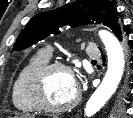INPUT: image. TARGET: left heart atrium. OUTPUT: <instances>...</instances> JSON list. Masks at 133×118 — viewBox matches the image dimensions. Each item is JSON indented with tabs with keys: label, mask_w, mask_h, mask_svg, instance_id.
I'll return each mask as SVG.
<instances>
[{
	"label": "left heart atrium",
	"mask_w": 133,
	"mask_h": 118,
	"mask_svg": "<svg viewBox=\"0 0 133 118\" xmlns=\"http://www.w3.org/2000/svg\"><path fill=\"white\" fill-rule=\"evenodd\" d=\"M72 86H73V89L77 92L78 90V87H79V82L76 78H72Z\"/></svg>",
	"instance_id": "39dd6f15"
}]
</instances>
